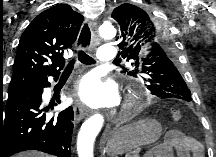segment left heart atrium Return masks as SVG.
Instances as JSON below:
<instances>
[{
	"label": "left heart atrium",
	"mask_w": 216,
	"mask_h": 157,
	"mask_svg": "<svg viewBox=\"0 0 216 157\" xmlns=\"http://www.w3.org/2000/svg\"><path fill=\"white\" fill-rule=\"evenodd\" d=\"M77 97L85 105L98 108L113 105L117 100V92L113 85L95 75H88L80 82Z\"/></svg>",
	"instance_id": "1"
}]
</instances>
